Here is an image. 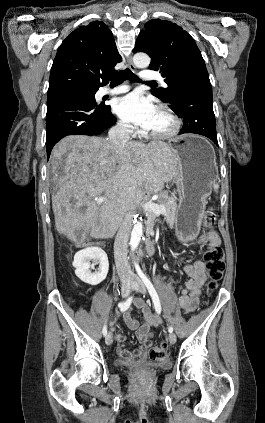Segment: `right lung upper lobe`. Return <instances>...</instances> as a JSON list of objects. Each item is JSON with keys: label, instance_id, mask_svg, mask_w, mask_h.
<instances>
[{"label": "right lung upper lobe", "instance_id": "right-lung-upper-lobe-1", "mask_svg": "<svg viewBox=\"0 0 265 423\" xmlns=\"http://www.w3.org/2000/svg\"><path fill=\"white\" fill-rule=\"evenodd\" d=\"M121 60L113 34L103 22L94 21L81 26L58 48L51 68L48 94L99 88L117 73L114 66Z\"/></svg>", "mask_w": 265, "mask_h": 423}]
</instances>
